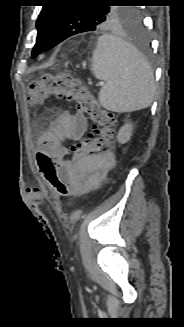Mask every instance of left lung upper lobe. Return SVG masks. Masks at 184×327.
I'll list each match as a JSON object with an SVG mask.
<instances>
[{"label": "left lung upper lobe", "instance_id": "obj_1", "mask_svg": "<svg viewBox=\"0 0 184 327\" xmlns=\"http://www.w3.org/2000/svg\"><path fill=\"white\" fill-rule=\"evenodd\" d=\"M50 2L52 4L43 6L37 20L38 35L32 58L44 52L61 22L65 29L79 33L113 25L132 28L140 22L138 10L129 6L83 5L82 0H52ZM106 2L126 3L128 1L109 0Z\"/></svg>", "mask_w": 184, "mask_h": 327}]
</instances>
